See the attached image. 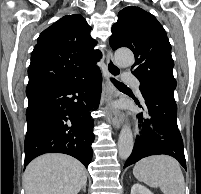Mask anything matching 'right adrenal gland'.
<instances>
[{
    "label": "right adrenal gland",
    "mask_w": 201,
    "mask_h": 194,
    "mask_svg": "<svg viewBox=\"0 0 201 194\" xmlns=\"http://www.w3.org/2000/svg\"><path fill=\"white\" fill-rule=\"evenodd\" d=\"M83 192H86V185L82 188Z\"/></svg>",
    "instance_id": "2a0ac1e0"
}]
</instances>
